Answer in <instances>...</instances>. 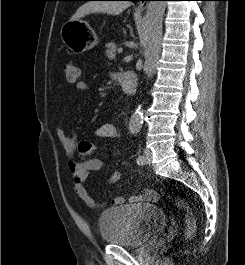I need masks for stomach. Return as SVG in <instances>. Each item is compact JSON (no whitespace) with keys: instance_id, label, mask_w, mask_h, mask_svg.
<instances>
[{"instance_id":"1","label":"stomach","mask_w":245,"mask_h":265,"mask_svg":"<svg viewBox=\"0 0 245 265\" xmlns=\"http://www.w3.org/2000/svg\"><path fill=\"white\" fill-rule=\"evenodd\" d=\"M63 43L74 54H81L92 49L98 43L95 31L84 20H69L60 30Z\"/></svg>"}]
</instances>
